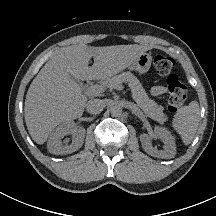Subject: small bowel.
<instances>
[{"instance_id": "small-bowel-1", "label": "small bowel", "mask_w": 216, "mask_h": 216, "mask_svg": "<svg viewBox=\"0 0 216 216\" xmlns=\"http://www.w3.org/2000/svg\"><path fill=\"white\" fill-rule=\"evenodd\" d=\"M166 92V88L163 85H156L152 88V93L156 96L163 95Z\"/></svg>"}]
</instances>
